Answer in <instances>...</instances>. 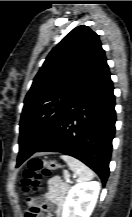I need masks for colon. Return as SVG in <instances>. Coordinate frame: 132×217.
Returning <instances> with one entry per match:
<instances>
[{"label": "colon", "instance_id": "obj_1", "mask_svg": "<svg viewBox=\"0 0 132 217\" xmlns=\"http://www.w3.org/2000/svg\"><path fill=\"white\" fill-rule=\"evenodd\" d=\"M58 167L57 163L43 158H34L29 162L28 168L24 172L23 185L25 190L30 188L37 190L44 179L50 176L51 172ZM27 217H38L40 208L30 207L27 210Z\"/></svg>", "mask_w": 132, "mask_h": 217}]
</instances>
